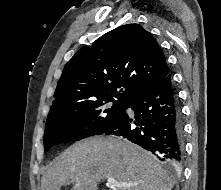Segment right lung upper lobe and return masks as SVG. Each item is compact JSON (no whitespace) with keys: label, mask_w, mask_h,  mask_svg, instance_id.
Segmentation results:
<instances>
[{"label":"right lung upper lobe","mask_w":221,"mask_h":190,"mask_svg":"<svg viewBox=\"0 0 221 190\" xmlns=\"http://www.w3.org/2000/svg\"><path fill=\"white\" fill-rule=\"evenodd\" d=\"M168 74L153 36L141 25H123L76 52L63 69L50 110L106 97L127 100Z\"/></svg>","instance_id":"right-lung-upper-lobe-1"}]
</instances>
